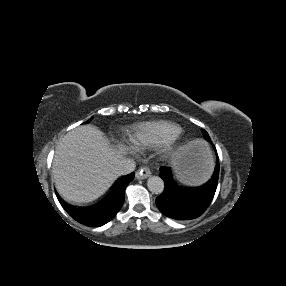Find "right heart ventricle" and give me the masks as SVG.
I'll return each instance as SVG.
<instances>
[{
	"label": "right heart ventricle",
	"instance_id": "1",
	"mask_svg": "<svg viewBox=\"0 0 286 286\" xmlns=\"http://www.w3.org/2000/svg\"><path fill=\"white\" fill-rule=\"evenodd\" d=\"M182 131L177 123L167 120H154L136 124L130 131L134 146L149 148L170 142Z\"/></svg>",
	"mask_w": 286,
	"mask_h": 286
}]
</instances>
